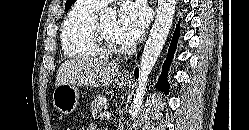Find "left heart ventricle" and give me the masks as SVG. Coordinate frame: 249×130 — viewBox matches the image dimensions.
I'll return each mask as SVG.
<instances>
[{
    "instance_id": "1",
    "label": "left heart ventricle",
    "mask_w": 249,
    "mask_h": 130,
    "mask_svg": "<svg viewBox=\"0 0 249 130\" xmlns=\"http://www.w3.org/2000/svg\"><path fill=\"white\" fill-rule=\"evenodd\" d=\"M101 25L105 33L116 43L120 44V41L116 32V19L113 17H105L100 19Z\"/></svg>"
}]
</instances>
